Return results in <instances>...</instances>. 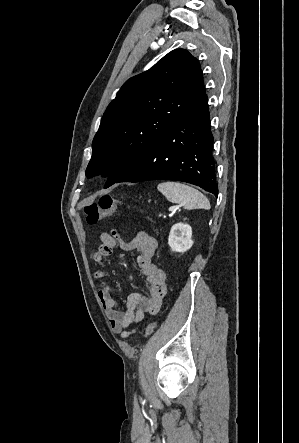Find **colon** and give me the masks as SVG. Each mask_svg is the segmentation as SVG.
<instances>
[{
	"label": "colon",
	"instance_id": "1",
	"mask_svg": "<svg viewBox=\"0 0 299 443\" xmlns=\"http://www.w3.org/2000/svg\"><path fill=\"white\" fill-rule=\"evenodd\" d=\"M123 203L115 200L110 195H103L98 202L90 203L85 207L86 221L95 225L102 219L112 215ZM157 327V322L149 323L144 331V336H150Z\"/></svg>",
	"mask_w": 299,
	"mask_h": 443
}]
</instances>
